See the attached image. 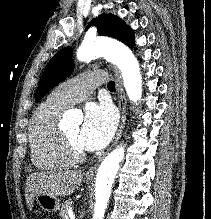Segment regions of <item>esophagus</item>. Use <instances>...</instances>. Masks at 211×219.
Wrapping results in <instances>:
<instances>
[{
    "mask_svg": "<svg viewBox=\"0 0 211 219\" xmlns=\"http://www.w3.org/2000/svg\"><path fill=\"white\" fill-rule=\"evenodd\" d=\"M110 68L113 72L115 82H116V92H117V97H118V107H119V110L121 113V120H120L119 128H118V131L116 133L115 139H114L111 147L107 150V152L105 154H107L119 141V139L122 135L123 129L125 127V122H126V104H127V101H126L125 92H124L123 85H122V80H121V77H120L119 72L116 69V67L110 66ZM102 158H100L98 163H96L90 170H88L86 172V177H93V175L95 174Z\"/></svg>",
    "mask_w": 211,
    "mask_h": 219,
    "instance_id": "1",
    "label": "esophagus"
}]
</instances>
